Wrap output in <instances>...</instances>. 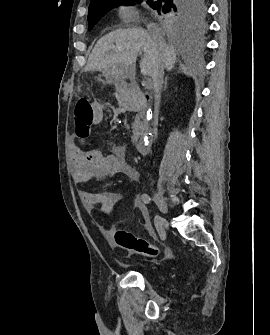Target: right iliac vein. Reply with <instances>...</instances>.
<instances>
[{
    "mask_svg": "<svg viewBox=\"0 0 270 335\" xmlns=\"http://www.w3.org/2000/svg\"><path fill=\"white\" fill-rule=\"evenodd\" d=\"M154 200L159 208V210L163 213V214H167L168 212V206L167 203L164 199V197L157 191L154 192ZM165 226H167V224L165 223Z\"/></svg>",
    "mask_w": 270,
    "mask_h": 335,
    "instance_id": "1",
    "label": "right iliac vein"
}]
</instances>
